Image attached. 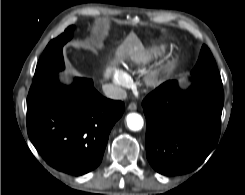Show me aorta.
I'll return each instance as SVG.
<instances>
[{"label":"aorta","instance_id":"aorta-1","mask_svg":"<svg viewBox=\"0 0 245 195\" xmlns=\"http://www.w3.org/2000/svg\"><path fill=\"white\" fill-rule=\"evenodd\" d=\"M127 126L132 131H139L143 127V118L138 113H130L126 117Z\"/></svg>","mask_w":245,"mask_h":195}]
</instances>
